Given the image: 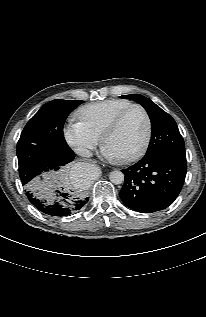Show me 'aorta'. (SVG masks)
I'll return each mask as SVG.
<instances>
[{"label": "aorta", "mask_w": 206, "mask_h": 317, "mask_svg": "<svg viewBox=\"0 0 206 317\" xmlns=\"http://www.w3.org/2000/svg\"><path fill=\"white\" fill-rule=\"evenodd\" d=\"M94 171V168L90 165H84L81 170L82 178H89L90 174ZM110 181L115 184H121L124 181V174L119 170H114L109 175Z\"/></svg>", "instance_id": "obj_1"}]
</instances>
